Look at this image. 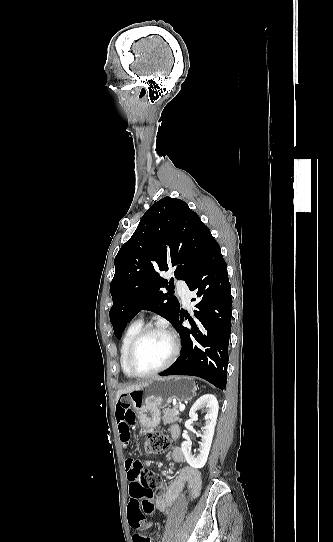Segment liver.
Here are the masks:
<instances>
[{
    "instance_id": "obj_1",
    "label": "liver",
    "mask_w": 333,
    "mask_h": 542,
    "mask_svg": "<svg viewBox=\"0 0 333 542\" xmlns=\"http://www.w3.org/2000/svg\"><path fill=\"white\" fill-rule=\"evenodd\" d=\"M146 382H142V384H134V386H127V388H123V390H118L117 392V400L122 396V394H129V392H134V390H141L143 386H145Z\"/></svg>"
}]
</instances>
